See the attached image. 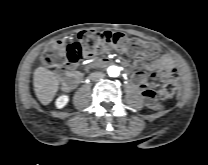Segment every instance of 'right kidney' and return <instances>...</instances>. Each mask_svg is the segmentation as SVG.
Instances as JSON below:
<instances>
[{"label": "right kidney", "instance_id": "obj_1", "mask_svg": "<svg viewBox=\"0 0 208 165\" xmlns=\"http://www.w3.org/2000/svg\"><path fill=\"white\" fill-rule=\"evenodd\" d=\"M68 101H69V97L67 95H62L57 98L55 105L58 109H61L67 105Z\"/></svg>", "mask_w": 208, "mask_h": 165}]
</instances>
